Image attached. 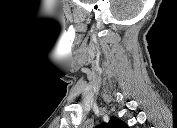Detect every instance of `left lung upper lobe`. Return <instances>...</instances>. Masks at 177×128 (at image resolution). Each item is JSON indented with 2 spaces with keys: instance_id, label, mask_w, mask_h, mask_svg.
Listing matches in <instances>:
<instances>
[{
  "instance_id": "5c2ea615",
  "label": "left lung upper lobe",
  "mask_w": 177,
  "mask_h": 128,
  "mask_svg": "<svg viewBox=\"0 0 177 128\" xmlns=\"http://www.w3.org/2000/svg\"><path fill=\"white\" fill-rule=\"evenodd\" d=\"M99 128H127V125L116 117H112L108 124L103 123Z\"/></svg>"
}]
</instances>
